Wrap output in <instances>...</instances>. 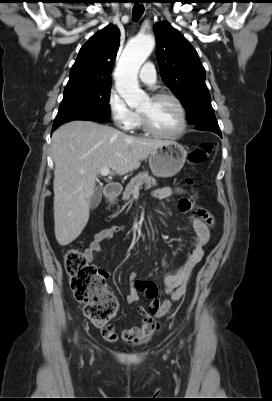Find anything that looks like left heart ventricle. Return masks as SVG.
Returning a JSON list of instances; mask_svg holds the SVG:
<instances>
[{
    "mask_svg": "<svg viewBox=\"0 0 272 401\" xmlns=\"http://www.w3.org/2000/svg\"><path fill=\"white\" fill-rule=\"evenodd\" d=\"M139 110L147 114L151 125L159 131L170 133L180 127V112L171 99L152 101L148 98Z\"/></svg>",
    "mask_w": 272,
    "mask_h": 401,
    "instance_id": "left-heart-ventricle-1",
    "label": "left heart ventricle"
}]
</instances>
